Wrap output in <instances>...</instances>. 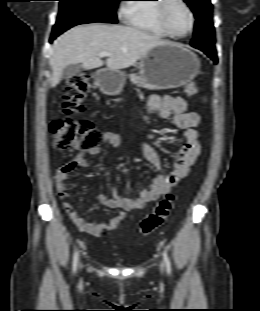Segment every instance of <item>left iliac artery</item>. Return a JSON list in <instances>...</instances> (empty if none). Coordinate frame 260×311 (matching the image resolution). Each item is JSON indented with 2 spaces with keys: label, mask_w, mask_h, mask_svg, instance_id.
Listing matches in <instances>:
<instances>
[{
  "label": "left iliac artery",
  "mask_w": 260,
  "mask_h": 311,
  "mask_svg": "<svg viewBox=\"0 0 260 311\" xmlns=\"http://www.w3.org/2000/svg\"><path fill=\"white\" fill-rule=\"evenodd\" d=\"M163 259H164V263L166 266L167 273L171 274V263H170L169 257H168L165 250L163 251Z\"/></svg>",
  "instance_id": "obj_1"
}]
</instances>
